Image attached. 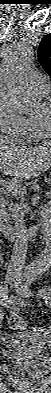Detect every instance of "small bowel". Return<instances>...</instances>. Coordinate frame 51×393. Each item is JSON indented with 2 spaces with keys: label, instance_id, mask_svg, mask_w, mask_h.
Instances as JSON below:
<instances>
[{
  "label": "small bowel",
  "instance_id": "c3829d8e",
  "mask_svg": "<svg viewBox=\"0 0 51 393\" xmlns=\"http://www.w3.org/2000/svg\"><path fill=\"white\" fill-rule=\"evenodd\" d=\"M30 301L23 297L13 296L8 301V308L11 314H16L19 312L20 308L28 306ZM32 332L38 333L41 332L38 329L32 330Z\"/></svg>",
  "mask_w": 51,
  "mask_h": 393
}]
</instances>
